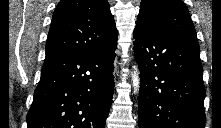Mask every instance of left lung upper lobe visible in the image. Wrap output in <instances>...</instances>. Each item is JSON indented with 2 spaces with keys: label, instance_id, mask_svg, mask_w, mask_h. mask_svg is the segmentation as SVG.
<instances>
[{
  "label": "left lung upper lobe",
  "instance_id": "5c2ea615",
  "mask_svg": "<svg viewBox=\"0 0 221 128\" xmlns=\"http://www.w3.org/2000/svg\"><path fill=\"white\" fill-rule=\"evenodd\" d=\"M136 26L170 35L199 48L191 16L181 0H142Z\"/></svg>",
  "mask_w": 221,
  "mask_h": 128
}]
</instances>
